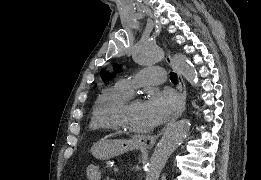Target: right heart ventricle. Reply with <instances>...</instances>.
I'll return each instance as SVG.
<instances>
[{
  "instance_id": "right-heart-ventricle-1",
  "label": "right heart ventricle",
  "mask_w": 261,
  "mask_h": 180,
  "mask_svg": "<svg viewBox=\"0 0 261 180\" xmlns=\"http://www.w3.org/2000/svg\"><path fill=\"white\" fill-rule=\"evenodd\" d=\"M128 94L119 84L102 90L91 112L88 124L89 133H111V138L116 137L112 117L113 110L121 105ZM111 138L92 139L108 140Z\"/></svg>"
}]
</instances>
